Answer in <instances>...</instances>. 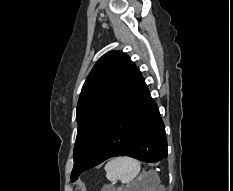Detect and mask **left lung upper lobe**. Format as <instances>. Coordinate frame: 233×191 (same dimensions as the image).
<instances>
[{"label":"left lung upper lobe","mask_w":233,"mask_h":191,"mask_svg":"<svg viewBox=\"0 0 233 191\" xmlns=\"http://www.w3.org/2000/svg\"><path fill=\"white\" fill-rule=\"evenodd\" d=\"M141 78L137 66L120 51L105 54L95 64L78 101V130L71 177L81 170L104 130Z\"/></svg>","instance_id":"obj_1"}]
</instances>
